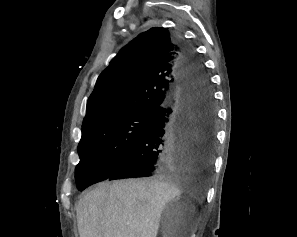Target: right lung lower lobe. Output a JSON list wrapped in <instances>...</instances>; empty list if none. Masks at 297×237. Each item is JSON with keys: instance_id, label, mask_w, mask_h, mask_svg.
Returning a JSON list of instances; mask_svg holds the SVG:
<instances>
[{"instance_id": "obj_1", "label": "right lung lower lobe", "mask_w": 297, "mask_h": 237, "mask_svg": "<svg viewBox=\"0 0 297 237\" xmlns=\"http://www.w3.org/2000/svg\"><path fill=\"white\" fill-rule=\"evenodd\" d=\"M181 83L154 112L142 136L97 182L172 173H208L213 163L216 112L209 80L194 51L175 37Z\"/></svg>"}]
</instances>
